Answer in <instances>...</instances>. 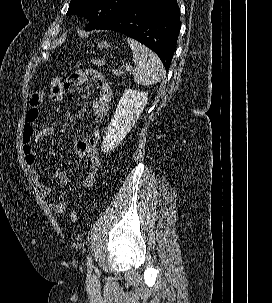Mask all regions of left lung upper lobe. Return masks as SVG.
Masks as SVG:
<instances>
[{"instance_id": "1", "label": "left lung upper lobe", "mask_w": 272, "mask_h": 303, "mask_svg": "<svg viewBox=\"0 0 272 303\" xmlns=\"http://www.w3.org/2000/svg\"><path fill=\"white\" fill-rule=\"evenodd\" d=\"M139 0H71L67 14L85 16L86 31L94 30L108 19L134 5Z\"/></svg>"}]
</instances>
